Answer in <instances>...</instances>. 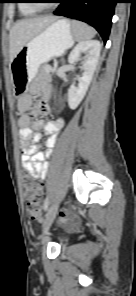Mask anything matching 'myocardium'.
Returning <instances> with one entry per match:
<instances>
[{"label": "myocardium", "instance_id": "1", "mask_svg": "<svg viewBox=\"0 0 136 296\" xmlns=\"http://www.w3.org/2000/svg\"><path fill=\"white\" fill-rule=\"evenodd\" d=\"M31 5L36 9H46L48 7L47 3H42L43 0H29Z\"/></svg>", "mask_w": 136, "mask_h": 296}]
</instances>
